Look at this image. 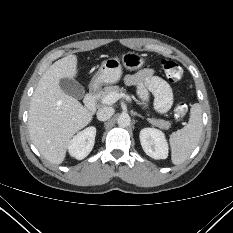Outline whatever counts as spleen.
Returning a JSON list of instances; mask_svg holds the SVG:
<instances>
[{
  "instance_id": "spleen-1",
  "label": "spleen",
  "mask_w": 233,
  "mask_h": 233,
  "mask_svg": "<svg viewBox=\"0 0 233 233\" xmlns=\"http://www.w3.org/2000/svg\"><path fill=\"white\" fill-rule=\"evenodd\" d=\"M202 130V110L196 103L191 107L188 124L170 136L173 164L179 165L190 156L200 141Z\"/></svg>"
}]
</instances>
